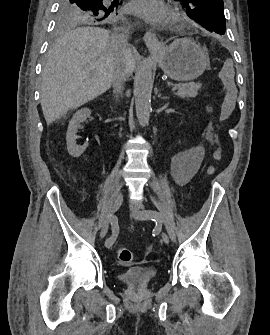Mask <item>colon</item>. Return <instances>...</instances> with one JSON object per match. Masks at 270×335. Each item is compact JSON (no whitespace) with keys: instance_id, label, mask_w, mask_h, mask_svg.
Masks as SVG:
<instances>
[{"instance_id":"5ec220e1","label":"colon","mask_w":270,"mask_h":335,"mask_svg":"<svg viewBox=\"0 0 270 335\" xmlns=\"http://www.w3.org/2000/svg\"><path fill=\"white\" fill-rule=\"evenodd\" d=\"M235 68V63L232 57H224L222 63V72L220 73L222 88L225 89L222 102H219V119H230V116L234 115V110L236 109L235 98L232 97L235 88V83L233 79V69ZM216 155H223V148H216ZM216 163H225V156H216ZM117 259L122 264H129L133 259V253L130 249L126 247L117 248Z\"/></svg>"}]
</instances>
